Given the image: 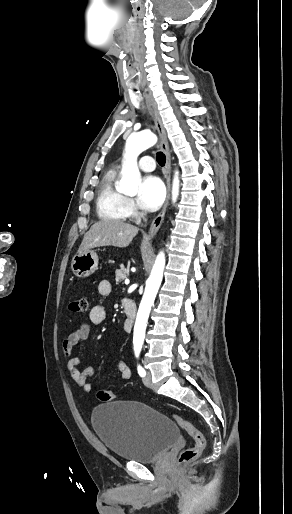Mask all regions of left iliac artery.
<instances>
[{
  "label": "left iliac artery",
  "mask_w": 292,
  "mask_h": 514,
  "mask_svg": "<svg viewBox=\"0 0 292 514\" xmlns=\"http://www.w3.org/2000/svg\"><path fill=\"white\" fill-rule=\"evenodd\" d=\"M136 357L138 358L139 357V354L136 353ZM137 371H138V374L141 376V377H144L146 375V371L144 370V368L138 364L137 366Z\"/></svg>",
  "instance_id": "left-iliac-artery-1"
}]
</instances>
